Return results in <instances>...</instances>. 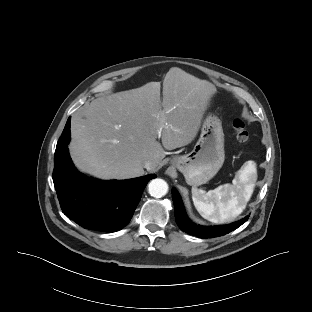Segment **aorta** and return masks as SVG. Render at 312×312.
<instances>
[{"label": "aorta", "instance_id": "1", "mask_svg": "<svg viewBox=\"0 0 312 312\" xmlns=\"http://www.w3.org/2000/svg\"><path fill=\"white\" fill-rule=\"evenodd\" d=\"M149 194L160 198L168 192V184L163 179H153L148 185Z\"/></svg>", "mask_w": 312, "mask_h": 312}]
</instances>
